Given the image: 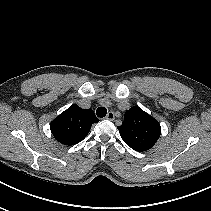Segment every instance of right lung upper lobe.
<instances>
[{"instance_id":"1","label":"right lung upper lobe","mask_w":211,"mask_h":211,"mask_svg":"<svg viewBox=\"0 0 211 211\" xmlns=\"http://www.w3.org/2000/svg\"><path fill=\"white\" fill-rule=\"evenodd\" d=\"M98 121L92 109L73 104L51 122L50 129L57 141L70 146L82 141Z\"/></svg>"}]
</instances>
